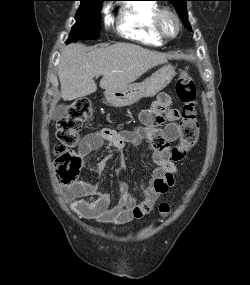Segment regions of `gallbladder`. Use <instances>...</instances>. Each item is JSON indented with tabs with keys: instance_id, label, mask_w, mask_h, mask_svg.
Returning a JSON list of instances; mask_svg holds the SVG:
<instances>
[{
	"instance_id": "obj_1",
	"label": "gallbladder",
	"mask_w": 250,
	"mask_h": 285,
	"mask_svg": "<svg viewBox=\"0 0 250 285\" xmlns=\"http://www.w3.org/2000/svg\"><path fill=\"white\" fill-rule=\"evenodd\" d=\"M67 114V107L65 105H58L54 111L53 118L59 120Z\"/></svg>"
}]
</instances>
